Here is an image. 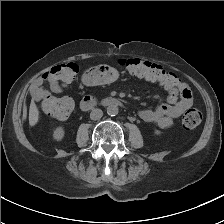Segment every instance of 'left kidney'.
Segmentation results:
<instances>
[{"label": "left kidney", "mask_w": 224, "mask_h": 224, "mask_svg": "<svg viewBox=\"0 0 224 224\" xmlns=\"http://www.w3.org/2000/svg\"><path fill=\"white\" fill-rule=\"evenodd\" d=\"M161 132L159 130H155V134L159 135Z\"/></svg>", "instance_id": "1"}]
</instances>
